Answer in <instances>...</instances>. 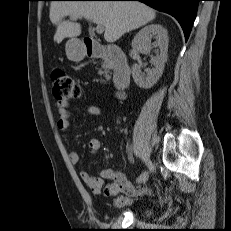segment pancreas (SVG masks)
I'll return each mask as SVG.
<instances>
[{"label": "pancreas", "mask_w": 231, "mask_h": 231, "mask_svg": "<svg viewBox=\"0 0 231 231\" xmlns=\"http://www.w3.org/2000/svg\"><path fill=\"white\" fill-rule=\"evenodd\" d=\"M99 74H105L107 76V70H105L104 72L102 70H99Z\"/></svg>", "instance_id": "obj_1"}]
</instances>
